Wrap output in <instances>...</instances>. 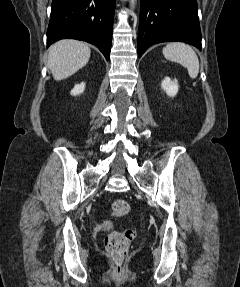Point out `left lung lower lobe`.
<instances>
[{
    "label": "left lung lower lobe",
    "mask_w": 240,
    "mask_h": 287,
    "mask_svg": "<svg viewBox=\"0 0 240 287\" xmlns=\"http://www.w3.org/2000/svg\"><path fill=\"white\" fill-rule=\"evenodd\" d=\"M138 56L153 44L189 43L201 50L197 0H140Z\"/></svg>",
    "instance_id": "left-lung-lower-lobe-1"
}]
</instances>
